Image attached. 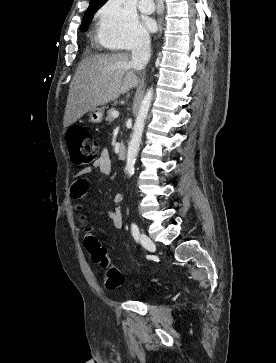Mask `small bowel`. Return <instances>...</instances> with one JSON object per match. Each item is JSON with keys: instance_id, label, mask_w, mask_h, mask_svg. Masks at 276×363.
Masks as SVG:
<instances>
[{"instance_id": "1", "label": "small bowel", "mask_w": 276, "mask_h": 363, "mask_svg": "<svg viewBox=\"0 0 276 363\" xmlns=\"http://www.w3.org/2000/svg\"><path fill=\"white\" fill-rule=\"evenodd\" d=\"M111 159L106 150H104L98 159L93 163L92 166L85 167L78 171L73 176V181L69 188L70 197L76 201L80 202L85 199L88 189L89 181L86 176L91 173L94 169H98L102 174H109L111 171ZM123 201V195L118 193L113 197L114 210L108 211L107 216L112 221L116 229H121L123 226L122 214H121V203ZM92 234L91 228L85 229L84 236Z\"/></svg>"}]
</instances>
